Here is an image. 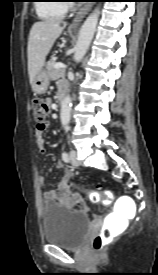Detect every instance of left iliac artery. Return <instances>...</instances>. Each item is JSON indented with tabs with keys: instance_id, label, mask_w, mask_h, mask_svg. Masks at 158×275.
Masks as SVG:
<instances>
[{
	"instance_id": "1",
	"label": "left iliac artery",
	"mask_w": 158,
	"mask_h": 275,
	"mask_svg": "<svg viewBox=\"0 0 158 275\" xmlns=\"http://www.w3.org/2000/svg\"><path fill=\"white\" fill-rule=\"evenodd\" d=\"M62 158H63V160H64L65 162H69V156H68V154H67L66 152H64V153L62 154Z\"/></svg>"
}]
</instances>
